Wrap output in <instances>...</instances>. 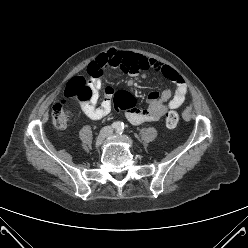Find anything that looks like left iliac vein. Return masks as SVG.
Returning a JSON list of instances; mask_svg holds the SVG:
<instances>
[{"mask_svg":"<svg viewBox=\"0 0 248 248\" xmlns=\"http://www.w3.org/2000/svg\"><path fill=\"white\" fill-rule=\"evenodd\" d=\"M108 139H109V140H113V139H114L113 136H112V132H111V131H109Z\"/></svg>","mask_w":248,"mask_h":248,"instance_id":"left-iliac-vein-1","label":"left iliac vein"}]
</instances>
